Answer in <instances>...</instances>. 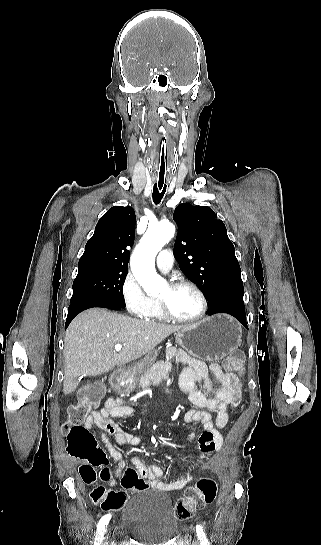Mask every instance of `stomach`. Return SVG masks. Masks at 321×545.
<instances>
[{
	"label": "stomach",
	"mask_w": 321,
	"mask_h": 545,
	"mask_svg": "<svg viewBox=\"0 0 321 545\" xmlns=\"http://www.w3.org/2000/svg\"><path fill=\"white\" fill-rule=\"evenodd\" d=\"M240 323L229 315L205 317L198 323H191L175 333L177 345L185 349L191 357L202 361H217L226 357L230 351L238 349L241 343ZM157 353L150 351L144 359L133 365L132 369H149L155 363ZM126 369H118L117 377Z\"/></svg>",
	"instance_id": "obj_1"
}]
</instances>
